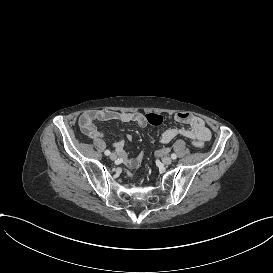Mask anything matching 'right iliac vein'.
<instances>
[{
  "label": "right iliac vein",
  "instance_id": "right-iliac-vein-1",
  "mask_svg": "<svg viewBox=\"0 0 273 273\" xmlns=\"http://www.w3.org/2000/svg\"><path fill=\"white\" fill-rule=\"evenodd\" d=\"M109 158H110L112 161H114V160L117 159V154H116V153H111L110 156H109Z\"/></svg>",
  "mask_w": 273,
  "mask_h": 273
}]
</instances>
